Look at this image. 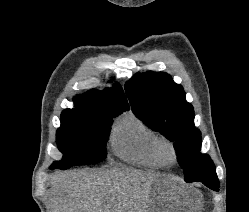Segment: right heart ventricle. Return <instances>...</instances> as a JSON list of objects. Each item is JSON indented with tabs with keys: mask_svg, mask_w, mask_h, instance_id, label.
<instances>
[{
	"mask_svg": "<svg viewBox=\"0 0 249 212\" xmlns=\"http://www.w3.org/2000/svg\"><path fill=\"white\" fill-rule=\"evenodd\" d=\"M161 136L135 113L128 112L114 124L109 146L119 159L132 165L163 169V163L156 154V145Z\"/></svg>",
	"mask_w": 249,
	"mask_h": 212,
	"instance_id": "right-heart-ventricle-1",
	"label": "right heart ventricle"
}]
</instances>
